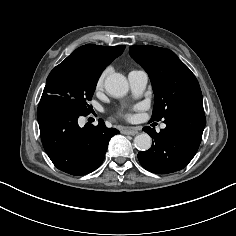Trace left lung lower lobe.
<instances>
[{
    "instance_id": "left-lung-lower-lobe-1",
    "label": "left lung lower lobe",
    "mask_w": 236,
    "mask_h": 236,
    "mask_svg": "<svg viewBox=\"0 0 236 236\" xmlns=\"http://www.w3.org/2000/svg\"><path fill=\"white\" fill-rule=\"evenodd\" d=\"M166 128L159 133L144 127L154 140L148 151L138 153L141 165L157 174H168L185 168L196 154L206 124L203 106L187 105L168 114Z\"/></svg>"
}]
</instances>
